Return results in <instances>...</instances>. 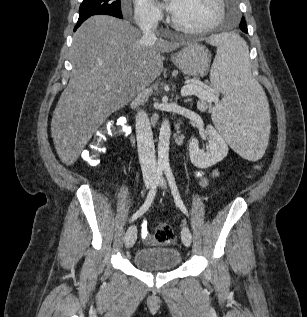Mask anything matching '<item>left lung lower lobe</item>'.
Wrapping results in <instances>:
<instances>
[{"instance_id":"1","label":"left lung lower lobe","mask_w":307,"mask_h":317,"mask_svg":"<svg viewBox=\"0 0 307 317\" xmlns=\"http://www.w3.org/2000/svg\"><path fill=\"white\" fill-rule=\"evenodd\" d=\"M240 29H241L243 32H245V33L248 32L247 26H246V22H245V19H244V18H242V21L240 22Z\"/></svg>"}]
</instances>
